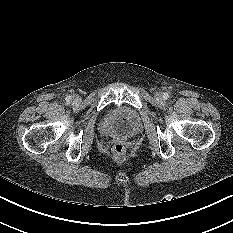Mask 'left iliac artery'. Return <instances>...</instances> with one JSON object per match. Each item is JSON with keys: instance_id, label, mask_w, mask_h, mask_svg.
<instances>
[{"instance_id": "left-iliac-artery-1", "label": "left iliac artery", "mask_w": 233, "mask_h": 233, "mask_svg": "<svg viewBox=\"0 0 233 233\" xmlns=\"http://www.w3.org/2000/svg\"><path fill=\"white\" fill-rule=\"evenodd\" d=\"M163 97H164V99H168L169 98V94L168 93H164Z\"/></svg>"}]
</instances>
